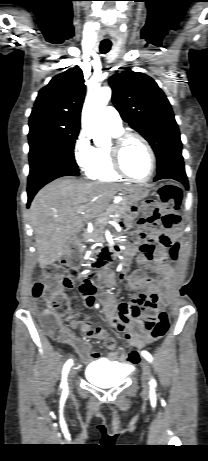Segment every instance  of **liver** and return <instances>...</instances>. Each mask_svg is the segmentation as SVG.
<instances>
[{
  "label": "liver",
  "mask_w": 208,
  "mask_h": 461,
  "mask_svg": "<svg viewBox=\"0 0 208 461\" xmlns=\"http://www.w3.org/2000/svg\"><path fill=\"white\" fill-rule=\"evenodd\" d=\"M129 189L71 177L56 179L42 188L30 207L40 267L59 260L66 244L82 230L83 222L105 211L118 191Z\"/></svg>",
  "instance_id": "obj_1"
}]
</instances>
